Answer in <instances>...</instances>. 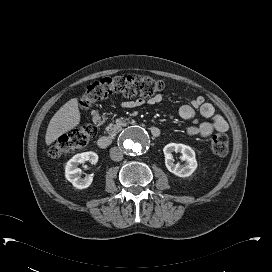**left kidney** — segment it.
Listing matches in <instances>:
<instances>
[{
  "instance_id": "left-kidney-1",
  "label": "left kidney",
  "mask_w": 272,
  "mask_h": 272,
  "mask_svg": "<svg viewBox=\"0 0 272 272\" xmlns=\"http://www.w3.org/2000/svg\"><path fill=\"white\" fill-rule=\"evenodd\" d=\"M165 155V165L167 169L178 177H189L197 168L195 151L187 145L169 143L163 149ZM172 152H180L181 159L185 161L184 165L173 162Z\"/></svg>"
}]
</instances>
